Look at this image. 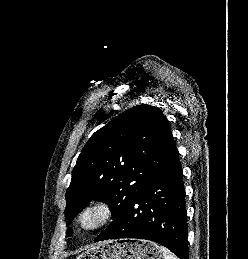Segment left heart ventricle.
Instances as JSON below:
<instances>
[{
    "mask_svg": "<svg viewBox=\"0 0 248 259\" xmlns=\"http://www.w3.org/2000/svg\"><path fill=\"white\" fill-rule=\"evenodd\" d=\"M96 217H97V215L94 214V213L89 214V215L86 217L85 222H86L87 224L92 223V222L96 219Z\"/></svg>",
    "mask_w": 248,
    "mask_h": 259,
    "instance_id": "left-heart-ventricle-1",
    "label": "left heart ventricle"
}]
</instances>
